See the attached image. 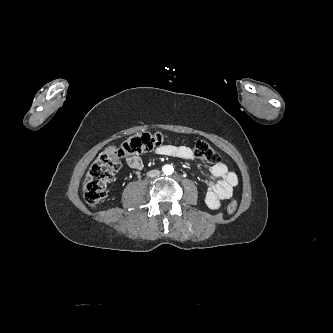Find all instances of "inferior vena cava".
Returning a JSON list of instances; mask_svg holds the SVG:
<instances>
[{"instance_id": "602c4592", "label": "inferior vena cava", "mask_w": 333, "mask_h": 333, "mask_svg": "<svg viewBox=\"0 0 333 333\" xmlns=\"http://www.w3.org/2000/svg\"><path fill=\"white\" fill-rule=\"evenodd\" d=\"M160 174V171L159 170H151L147 173V176L148 177H156Z\"/></svg>"}]
</instances>
